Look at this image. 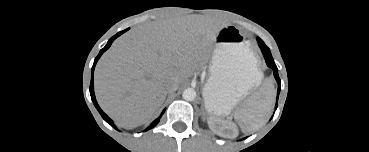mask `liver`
Instances as JSON below:
<instances>
[{"mask_svg":"<svg viewBox=\"0 0 369 152\" xmlns=\"http://www.w3.org/2000/svg\"><path fill=\"white\" fill-rule=\"evenodd\" d=\"M220 28L211 20L176 18L128 31L95 68L99 105L119 127L147 123L166 98L167 82L182 84L207 60Z\"/></svg>","mask_w":369,"mask_h":152,"instance_id":"obj_1","label":"liver"}]
</instances>
